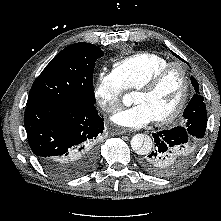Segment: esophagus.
I'll list each match as a JSON object with an SVG mask.
<instances>
[{"instance_id": "34e87169", "label": "esophagus", "mask_w": 221, "mask_h": 221, "mask_svg": "<svg viewBox=\"0 0 221 221\" xmlns=\"http://www.w3.org/2000/svg\"><path fill=\"white\" fill-rule=\"evenodd\" d=\"M127 131L123 130V129H116L113 131L114 134L116 135H121V134H125Z\"/></svg>"}]
</instances>
